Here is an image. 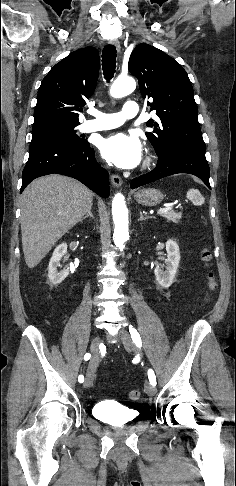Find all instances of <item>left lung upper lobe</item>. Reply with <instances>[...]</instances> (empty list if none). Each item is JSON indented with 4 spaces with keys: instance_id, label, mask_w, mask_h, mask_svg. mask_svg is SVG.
<instances>
[{
    "instance_id": "1",
    "label": "left lung upper lobe",
    "mask_w": 236,
    "mask_h": 486,
    "mask_svg": "<svg viewBox=\"0 0 236 486\" xmlns=\"http://www.w3.org/2000/svg\"><path fill=\"white\" fill-rule=\"evenodd\" d=\"M129 71L139 81L142 97L156 110L159 122L149 120L146 132L158 156L177 146L206 150L194 91L186 71L163 51L141 43L132 51Z\"/></svg>"
}]
</instances>
